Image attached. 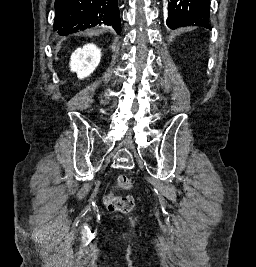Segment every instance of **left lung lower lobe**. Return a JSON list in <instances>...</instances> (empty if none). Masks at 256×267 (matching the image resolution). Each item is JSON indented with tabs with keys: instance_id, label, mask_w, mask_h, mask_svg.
Segmentation results:
<instances>
[{
	"instance_id": "obj_1",
	"label": "left lung lower lobe",
	"mask_w": 256,
	"mask_h": 267,
	"mask_svg": "<svg viewBox=\"0 0 256 267\" xmlns=\"http://www.w3.org/2000/svg\"><path fill=\"white\" fill-rule=\"evenodd\" d=\"M174 2H175V0H171V2H169V4H168L169 17L167 19V25L171 29H175V28L180 27V26H186L184 21L175 19V17L173 16L172 13L174 11Z\"/></svg>"
}]
</instances>
